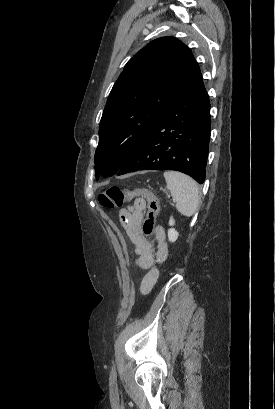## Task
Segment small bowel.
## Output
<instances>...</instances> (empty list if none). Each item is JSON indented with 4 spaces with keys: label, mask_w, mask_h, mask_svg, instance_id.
<instances>
[{
    "label": "small bowel",
    "mask_w": 275,
    "mask_h": 409,
    "mask_svg": "<svg viewBox=\"0 0 275 409\" xmlns=\"http://www.w3.org/2000/svg\"><path fill=\"white\" fill-rule=\"evenodd\" d=\"M146 211V201L142 198H137L134 202L123 208L120 212V221L134 246V252L136 254V264L142 270H149L152 268L155 258L151 252L150 244L144 237L141 231V226ZM158 237L160 244L158 247L156 260L158 262H163L168 256V248L165 242V237L163 231L160 229L158 231ZM151 269L143 278L140 286V291L145 294L148 293L153 287L157 280L158 273L156 276L151 277Z\"/></svg>",
    "instance_id": "1"
}]
</instances>
